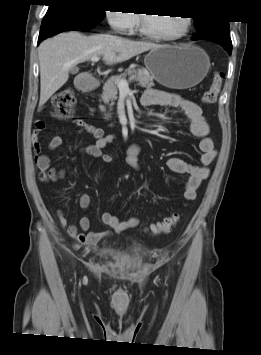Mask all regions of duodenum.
Wrapping results in <instances>:
<instances>
[{
  "instance_id": "1",
  "label": "duodenum",
  "mask_w": 261,
  "mask_h": 355,
  "mask_svg": "<svg viewBox=\"0 0 261 355\" xmlns=\"http://www.w3.org/2000/svg\"><path fill=\"white\" fill-rule=\"evenodd\" d=\"M77 88L83 92H90L98 86L96 79L93 75L89 77L79 78L76 82Z\"/></svg>"
}]
</instances>
